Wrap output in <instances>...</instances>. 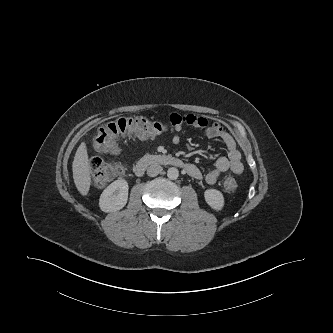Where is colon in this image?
<instances>
[{"label":"colon","mask_w":333,"mask_h":333,"mask_svg":"<svg viewBox=\"0 0 333 333\" xmlns=\"http://www.w3.org/2000/svg\"><path fill=\"white\" fill-rule=\"evenodd\" d=\"M167 130L165 124L145 117L135 116L120 118L99 128L94 138V146L100 153L113 155L119 151L118 141L131 137L154 138ZM90 168L97 184H105L123 172L120 164L105 162L93 158ZM223 186L226 191L232 192L237 188V180L228 175L224 178Z\"/></svg>","instance_id":"colon-1"}]
</instances>
